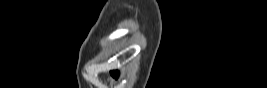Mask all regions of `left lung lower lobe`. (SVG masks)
Instances as JSON below:
<instances>
[{
	"label": "left lung lower lobe",
	"mask_w": 267,
	"mask_h": 88,
	"mask_svg": "<svg viewBox=\"0 0 267 88\" xmlns=\"http://www.w3.org/2000/svg\"><path fill=\"white\" fill-rule=\"evenodd\" d=\"M111 74H112L114 77H116V78H117L118 75H119L118 71H112Z\"/></svg>",
	"instance_id": "left-lung-lower-lobe-1"
}]
</instances>
